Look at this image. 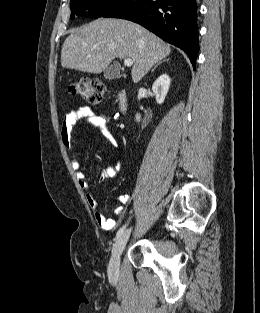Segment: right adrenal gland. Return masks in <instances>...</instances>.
Instances as JSON below:
<instances>
[{"instance_id":"1","label":"right adrenal gland","mask_w":260,"mask_h":313,"mask_svg":"<svg viewBox=\"0 0 260 313\" xmlns=\"http://www.w3.org/2000/svg\"><path fill=\"white\" fill-rule=\"evenodd\" d=\"M164 61H169V59H166V60H164ZM161 63H162V61L157 62L156 65L154 66V68L152 69V71H154L155 68H156L158 65H160Z\"/></svg>"}]
</instances>
